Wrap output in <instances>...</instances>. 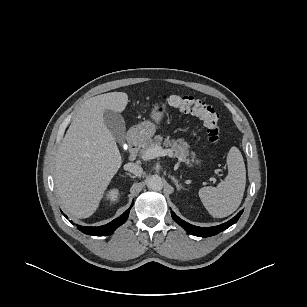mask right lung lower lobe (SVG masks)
Returning <instances> with one entry per match:
<instances>
[{"label": "right lung lower lobe", "mask_w": 307, "mask_h": 307, "mask_svg": "<svg viewBox=\"0 0 307 307\" xmlns=\"http://www.w3.org/2000/svg\"><path fill=\"white\" fill-rule=\"evenodd\" d=\"M129 210L130 209L125 211L122 216H120L119 218H116L115 220H113L112 222H110L106 225L98 226V227H86V226L77 225V228L81 232L88 234V235H94V236L109 235L112 232H114L116 230V228H118L120 225L125 223V221L128 218V215H129Z\"/></svg>", "instance_id": "right-lung-lower-lobe-1"}]
</instances>
